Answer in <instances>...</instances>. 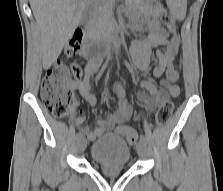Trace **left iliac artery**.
<instances>
[{
	"label": "left iliac artery",
	"mask_w": 223,
	"mask_h": 191,
	"mask_svg": "<svg viewBox=\"0 0 223 191\" xmlns=\"http://www.w3.org/2000/svg\"><path fill=\"white\" fill-rule=\"evenodd\" d=\"M140 141L146 144V137L144 135H140Z\"/></svg>",
	"instance_id": "left-iliac-artery-1"
}]
</instances>
